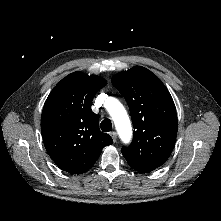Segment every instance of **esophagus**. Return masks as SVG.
<instances>
[{"label":"esophagus","instance_id":"obj_1","mask_svg":"<svg viewBox=\"0 0 221 221\" xmlns=\"http://www.w3.org/2000/svg\"><path fill=\"white\" fill-rule=\"evenodd\" d=\"M110 135H111L113 141L116 142V140H117V133H116L115 131H112V132L110 133Z\"/></svg>","mask_w":221,"mask_h":221}]
</instances>
